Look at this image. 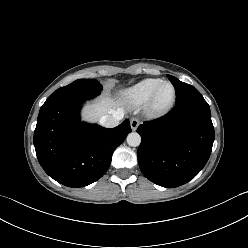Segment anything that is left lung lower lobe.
<instances>
[{"label":"left lung lower lobe","instance_id":"obj_1","mask_svg":"<svg viewBox=\"0 0 248 248\" xmlns=\"http://www.w3.org/2000/svg\"><path fill=\"white\" fill-rule=\"evenodd\" d=\"M137 132L141 172L153 183L173 188L193 179L209 159L214 127L204 98L175 107L165 116L145 121Z\"/></svg>","mask_w":248,"mask_h":248}]
</instances>
